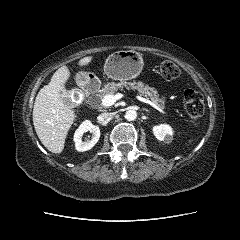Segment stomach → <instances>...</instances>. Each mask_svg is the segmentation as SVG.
I'll list each match as a JSON object with an SVG mask.
<instances>
[{
    "instance_id": "1",
    "label": "stomach",
    "mask_w": 240,
    "mask_h": 240,
    "mask_svg": "<svg viewBox=\"0 0 240 240\" xmlns=\"http://www.w3.org/2000/svg\"><path fill=\"white\" fill-rule=\"evenodd\" d=\"M143 69V59L133 50H121L110 55L104 65V73L113 80L125 81L136 78ZM89 78L87 73H81Z\"/></svg>"
}]
</instances>
